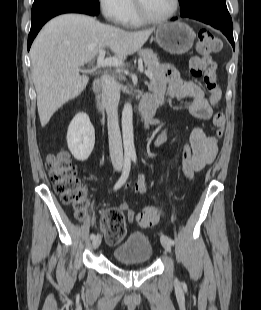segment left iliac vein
<instances>
[{
  "label": "left iliac vein",
  "instance_id": "4c4485c4",
  "mask_svg": "<svg viewBox=\"0 0 261 310\" xmlns=\"http://www.w3.org/2000/svg\"><path fill=\"white\" fill-rule=\"evenodd\" d=\"M160 240H161V244L164 247V249L170 253L172 245L170 244L168 238L162 235Z\"/></svg>",
  "mask_w": 261,
  "mask_h": 310
}]
</instances>
